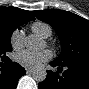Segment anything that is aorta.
I'll use <instances>...</instances> for the list:
<instances>
[{"instance_id": "1", "label": "aorta", "mask_w": 89, "mask_h": 89, "mask_svg": "<svg viewBox=\"0 0 89 89\" xmlns=\"http://www.w3.org/2000/svg\"><path fill=\"white\" fill-rule=\"evenodd\" d=\"M25 47L29 51H39L44 48V42L41 38L37 37L34 34L28 35L25 38ZM47 72L45 68L38 67L32 72V78L37 82H42L46 79Z\"/></svg>"}]
</instances>
